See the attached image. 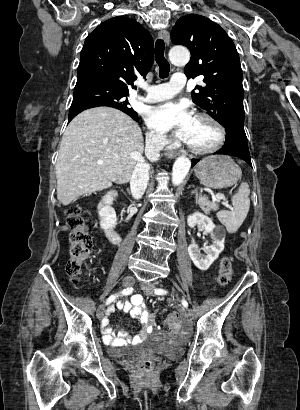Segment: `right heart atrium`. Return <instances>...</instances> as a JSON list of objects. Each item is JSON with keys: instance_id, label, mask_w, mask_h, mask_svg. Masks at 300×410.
I'll return each instance as SVG.
<instances>
[{"instance_id": "1", "label": "right heart atrium", "mask_w": 300, "mask_h": 410, "mask_svg": "<svg viewBox=\"0 0 300 410\" xmlns=\"http://www.w3.org/2000/svg\"><path fill=\"white\" fill-rule=\"evenodd\" d=\"M146 141L147 147L152 151H160L164 148L169 147L171 144L164 134L153 129L147 131Z\"/></svg>"}]
</instances>
